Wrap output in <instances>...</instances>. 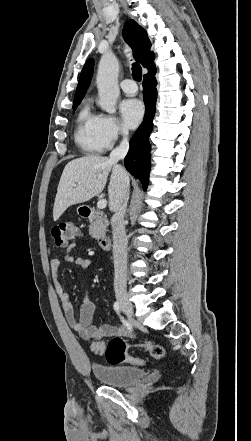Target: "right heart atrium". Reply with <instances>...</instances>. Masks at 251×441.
I'll return each mask as SVG.
<instances>
[{"label": "right heart atrium", "mask_w": 251, "mask_h": 441, "mask_svg": "<svg viewBox=\"0 0 251 441\" xmlns=\"http://www.w3.org/2000/svg\"><path fill=\"white\" fill-rule=\"evenodd\" d=\"M98 131L107 148L112 146L121 136L126 134V131L122 128L117 119L107 114L99 115Z\"/></svg>", "instance_id": "right-heart-atrium-1"}]
</instances>
